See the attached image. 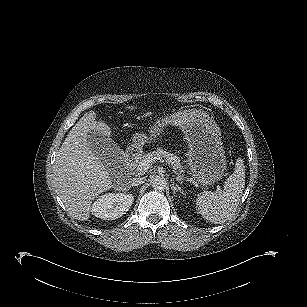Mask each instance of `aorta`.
Listing matches in <instances>:
<instances>
[{"label":"aorta","mask_w":307,"mask_h":307,"mask_svg":"<svg viewBox=\"0 0 307 307\" xmlns=\"http://www.w3.org/2000/svg\"><path fill=\"white\" fill-rule=\"evenodd\" d=\"M152 187L155 191H163L167 187V181L162 177H155L152 180Z\"/></svg>","instance_id":"aorta-1"}]
</instances>
